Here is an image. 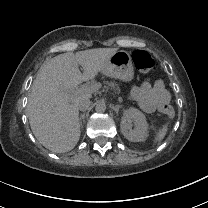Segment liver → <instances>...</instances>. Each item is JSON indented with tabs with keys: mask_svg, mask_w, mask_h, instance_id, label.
I'll use <instances>...</instances> for the list:
<instances>
[{
	"mask_svg": "<svg viewBox=\"0 0 208 208\" xmlns=\"http://www.w3.org/2000/svg\"><path fill=\"white\" fill-rule=\"evenodd\" d=\"M117 51L96 48L67 52L44 64L33 81L26 114L37 140L54 153L72 150L80 138L77 100L90 94L78 92L77 85L93 79ZM84 69L82 74L78 68Z\"/></svg>",
	"mask_w": 208,
	"mask_h": 208,
	"instance_id": "obj_1",
	"label": "liver"
}]
</instances>
